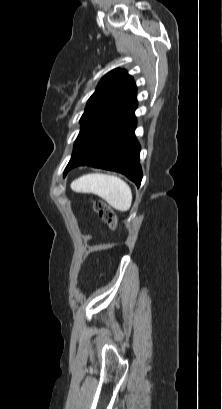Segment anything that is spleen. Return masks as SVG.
Wrapping results in <instances>:
<instances>
[{"mask_svg": "<svg viewBox=\"0 0 222 409\" xmlns=\"http://www.w3.org/2000/svg\"><path fill=\"white\" fill-rule=\"evenodd\" d=\"M77 193H92L104 199L114 209L126 212L132 204L129 185L117 176L93 173L84 175L71 183Z\"/></svg>", "mask_w": 222, "mask_h": 409, "instance_id": "1", "label": "spleen"}]
</instances>
